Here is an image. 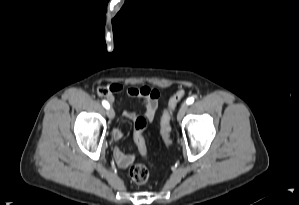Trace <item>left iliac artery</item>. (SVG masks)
Returning <instances> with one entry per match:
<instances>
[{"label": "left iliac artery", "instance_id": "left-iliac-artery-1", "mask_svg": "<svg viewBox=\"0 0 299 205\" xmlns=\"http://www.w3.org/2000/svg\"><path fill=\"white\" fill-rule=\"evenodd\" d=\"M194 102V98L193 97H189L187 100H186V103L187 105H190Z\"/></svg>", "mask_w": 299, "mask_h": 205}]
</instances>
